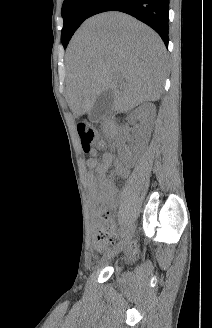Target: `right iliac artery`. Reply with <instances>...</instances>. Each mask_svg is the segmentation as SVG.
<instances>
[{
    "label": "right iliac artery",
    "mask_w": 212,
    "mask_h": 328,
    "mask_svg": "<svg viewBox=\"0 0 212 328\" xmlns=\"http://www.w3.org/2000/svg\"><path fill=\"white\" fill-rule=\"evenodd\" d=\"M120 235H121V237H123V235H124V227L121 228Z\"/></svg>",
    "instance_id": "82829eb1"
}]
</instances>
